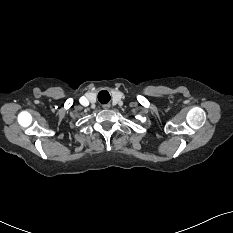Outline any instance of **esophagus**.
<instances>
[{"instance_id":"obj_1","label":"esophagus","mask_w":233,"mask_h":233,"mask_svg":"<svg viewBox=\"0 0 233 233\" xmlns=\"http://www.w3.org/2000/svg\"><path fill=\"white\" fill-rule=\"evenodd\" d=\"M104 108H109V105H105Z\"/></svg>"}]
</instances>
